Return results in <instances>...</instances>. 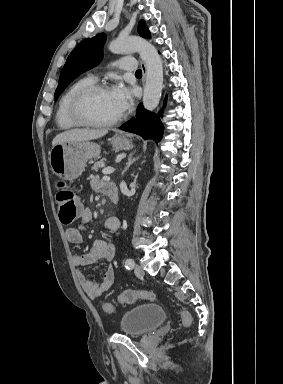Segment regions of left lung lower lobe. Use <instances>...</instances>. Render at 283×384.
I'll list each match as a JSON object with an SVG mask.
<instances>
[{
    "label": "left lung lower lobe",
    "instance_id": "left-lung-lower-lobe-1",
    "mask_svg": "<svg viewBox=\"0 0 283 384\" xmlns=\"http://www.w3.org/2000/svg\"><path fill=\"white\" fill-rule=\"evenodd\" d=\"M161 115L160 112V116ZM120 129L138 134L144 139H152L156 143L162 139L164 133V126L159 115L147 111L142 104H140L137 109L136 117L124 123Z\"/></svg>",
    "mask_w": 283,
    "mask_h": 384
}]
</instances>
